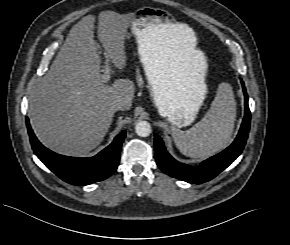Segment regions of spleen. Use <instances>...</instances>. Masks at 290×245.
Instances as JSON below:
<instances>
[{
  "label": "spleen",
  "instance_id": "obj_1",
  "mask_svg": "<svg viewBox=\"0 0 290 245\" xmlns=\"http://www.w3.org/2000/svg\"><path fill=\"white\" fill-rule=\"evenodd\" d=\"M235 119L236 102L232 87L221 83L205 116L189 130L173 127L172 136L183 155L206 158L229 144Z\"/></svg>",
  "mask_w": 290,
  "mask_h": 245
}]
</instances>
